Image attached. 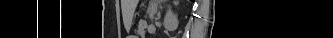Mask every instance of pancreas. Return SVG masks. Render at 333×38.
<instances>
[{
  "label": "pancreas",
  "mask_w": 333,
  "mask_h": 38,
  "mask_svg": "<svg viewBox=\"0 0 333 38\" xmlns=\"http://www.w3.org/2000/svg\"><path fill=\"white\" fill-rule=\"evenodd\" d=\"M144 28H145V24H144V23H141V24L139 25V32H140V34H144Z\"/></svg>",
  "instance_id": "1"
}]
</instances>
